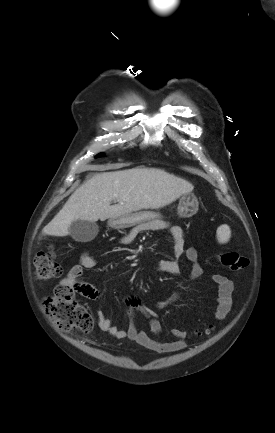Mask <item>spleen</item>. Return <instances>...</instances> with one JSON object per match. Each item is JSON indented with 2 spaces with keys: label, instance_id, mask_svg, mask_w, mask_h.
<instances>
[{
  "label": "spleen",
  "instance_id": "1",
  "mask_svg": "<svg viewBox=\"0 0 275 433\" xmlns=\"http://www.w3.org/2000/svg\"><path fill=\"white\" fill-rule=\"evenodd\" d=\"M217 240L219 243H227L231 237V230L228 225H221L216 232Z\"/></svg>",
  "mask_w": 275,
  "mask_h": 433
}]
</instances>
